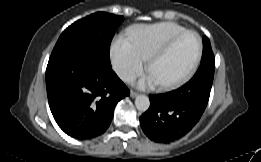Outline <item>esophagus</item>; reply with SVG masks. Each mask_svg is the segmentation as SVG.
I'll use <instances>...</instances> for the list:
<instances>
[{
	"instance_id": "1",
	"label": "esophagus",
	"mask_w": 261,
	"mask_h": 162,
	"mask_svg": "<svg viewBox=\"0 0 261 162\" xmlns=\"http://www.w3.org/2000/svg\"><path fill=\"white\" fill-rule=\"evenodd\" d=\"M139 94L137 93V92H135V91H131L130 92V96L132 97V98H135V97H137Z\"/></svg>"
}]
</instances>
